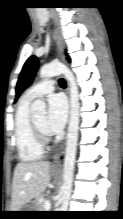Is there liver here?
I'll use <instances>...</instances> for the list:
<instances>
[{"instance_id":"1","label":"liver","mask_w":123,"mask_h":219,"mask_svg":"<svg viewBox=\"0 0 123 219\" xmlns=\"http://www.w3.org/2000/svg\"><path fill=\"white\" fill-rule=\"evenodd\" d=\"M48 161L20 162L16 165L12 184L11 211H20L25 204L38 198L50 182Z\"/></svg>"}]
</instances>
